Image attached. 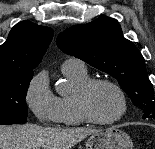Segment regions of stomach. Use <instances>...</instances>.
<instances>
[{"label":"stomach","instance_id":"obj_1","mask_svg":"<svg viewBox=\"0 0 155 149\" xmlns=\"http://www.w3.org/2000/svg\"><path fill=\"white\" fill-rule=\"evenodd\" d=\"M86 149H133V142L124 131L111 127L90 135Z\"/></svg>","mask_w":155,"mask_h":149}]
</instances>
